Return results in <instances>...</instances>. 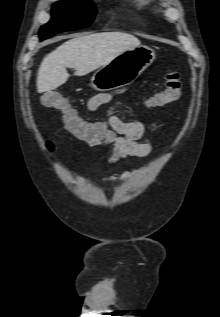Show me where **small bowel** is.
I'll return each mask as SVG.
<instances>
[{"mask_svg": "<svg viewBox=\"0 0 220 317\" xmlns=\"http://www.w3.org/2000/svg\"><path fill=\"white\" fill-rule=\"evenodd\" d=\"M108 93L93 96L88 102V109L94 111L110 101ZM115 106L111 107L105 123H85V128L72 131L73 135L85 142L89 147L112 145L113 153L107 164L113 165L119 161H128L132 157H146L151 153L149 143L140 142L146 134V127L139 121H123L114 114ZM154 128L157 124H154ZM134 170L120 175L106 177L105 181L125 180L132 176Z\"/></svg>", "mask_w": 220, "mask_h": 317, "instance_id": "obj_1", "label": "small bowel"}]
</instances>
